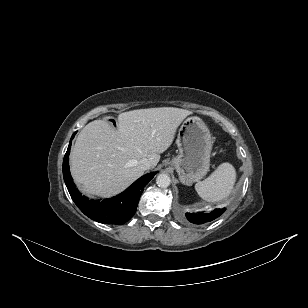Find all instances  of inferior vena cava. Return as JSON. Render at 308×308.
<instances>
[{
  "label": "inferior vena cava",
  "mask_w": 308,
  "mask_h": 308,
  "mask_svg": "<svg viewBox=\"0 0 308 308\" xmlns=\"http://www.w3.org/2000/svg\"><path fill=\"white\" fill-rule=\"evenodd\" d=\"M137 167L143 171L148 170L151 168V163L147 158H143L138 161Z\"/></svg>",
  "instance_id": "inferior-vena-cava-1"
}]
</instances>
